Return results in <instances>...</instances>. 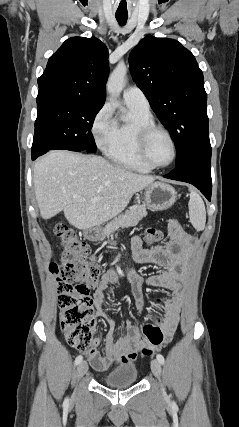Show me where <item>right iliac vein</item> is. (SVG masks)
<instances>
[{"instance_id": "1", "label": "right iliac vein", "mask_w": 239, "mask_h": 427, "mask_svg": "<svg viewBox=\"0 0 239 427\" xmlns=\"http://www.w3.org/2000/svg\"><path fill=\"white\" fill-rule=\"evenodd\" d=\"M88 370V364L86 361H82L79 363L77 367V378L80 379Z\"/></svg>"}]
</instances>
